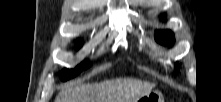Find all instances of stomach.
<instances>
[{
	"label": "stomach",
	"instance_id": "1",
	"mask_svg": "<svg viewBox=\"0 0 221 102\" xmlns=\"http://www.w3.org/2000/svg\"><path fill=\"white\" fill-rule=\"evenodd\" d=\"M137 102H164V98L161 92L153 90L140 97Z\"/></svg>",
	"mask_w": 221,
	"mask_h": 102
}]
</instances>
